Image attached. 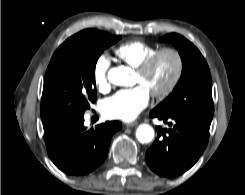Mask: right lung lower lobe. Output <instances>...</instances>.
<instances>
[{
  "label": "right lung lower lobe",
  "mask_w": 245,
  "mask_h": 195,
  "mask_svg": "<svg viewBox=\"0 0 245 195\" xmlns=\"http://www.w3.org/2000/svg\"><path fill=\"white\" fill-rule=\"evenodd\" d=\"M47 152L64 173L81 176L94 171L105 160L112 135L121 129L118 121L86 129L83 115L43 126Z\"/></svg>",
  "instance_id": "98d812e1"
}]
</instances>
